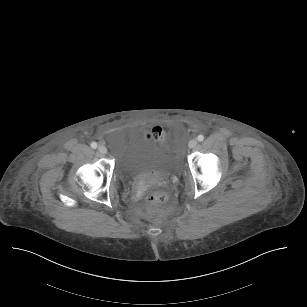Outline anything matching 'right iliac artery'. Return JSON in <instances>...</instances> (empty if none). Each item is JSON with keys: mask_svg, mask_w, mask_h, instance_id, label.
I'll return each instance as SVG.
<instances>
[{"mask_svg": "<svg viewBox=\"0 0 307 307\" xmlns=\"http://www.w3.org/2000/svg\"><path fill=\"white\" fill-rule=\"evenodd\" d=\"M91 147H92L93 149H96V148H97V143H96V142H92V143H91Z\"/></svg>", "mask_w": 307, "mask_h": 307, "instance_id": "obj_1", "label": "right iliac artery"}]
</instances>
